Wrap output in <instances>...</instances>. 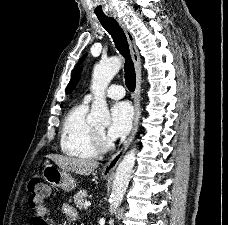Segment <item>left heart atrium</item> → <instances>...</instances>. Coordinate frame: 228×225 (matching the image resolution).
<instances>
[{"label":"left heart atrium","mask_w":228,"mask_h":225,"mask_svg":"<svg viewBox=\"0 0 228 225\" xmlns=\"http://www.w3.org/2000/svg\"><path fill=\"white\" fill-rule=\"evenodd\" d=\"M134 113L128 102L114 104L110 111V125L108 135L111 138L126 136L132 127Z\"/></svg>","instance_id":"left-heart-atrium-1"}]
</instances>
